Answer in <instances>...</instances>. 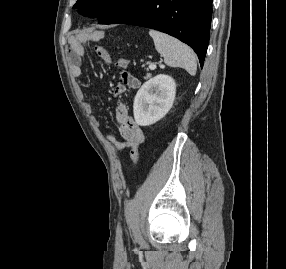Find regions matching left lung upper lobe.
<instances>
[{
  "label": "left lung upper lobe",
  "instance_id": "left-lung-upper-lobe-1",
  "mask_svg": "<svg viewBox=\"0 0 286 269\" xmlns=\"http://www.w3.org/2000/svg\"><path fill=\"white\" fill-rule=\"evenodd\" d=\"M145 0H77L73 6L85 8L82 14L98 17L101 24H114L139 8Z\"/></svg>",
  "mask_w": 286,
  "mask_h": 269
}]
</instances>
